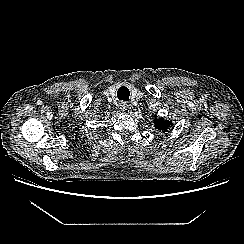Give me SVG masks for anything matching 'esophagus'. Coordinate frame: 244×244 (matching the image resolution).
I'll use <instances>...</instances> for the list:
<instances>
[{
	"instance_id": "34e87169",
	"label": "esophagus",
	"mask_w": 244,
	"mask_h": 244,
	"mask_svg": "<svg viewBox=\"0 0 244 244\" xmlns=\"http://www.w3.org/2000/svg\"><path fill=\"white\" fill-rule=\"evenodd\" d=\"M127 108H128V104H127L126 102H122V103L120 104V109H121L122 111H126Z\"/></svg>"
}]
</instances>
